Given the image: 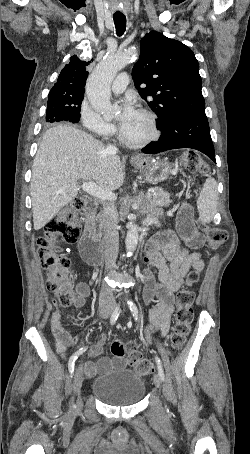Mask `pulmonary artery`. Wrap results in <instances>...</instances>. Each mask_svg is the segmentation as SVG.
I'll list each match as a JSON object with an SVG mask.
<instances>
[{
    "label": "pulmonary artery",
    "instance_id": "obj_1",
    "mask_svg": "<svg viewBox=\"0 0 250 454\" xmlns=\"http://www.w3.org/2000/svg\"><path fill=\"white\" fill-rule=\"evenodd\" d=\"M129 83V76L127 73L119 74L111 85L113 93H122Z\"/></svg>",
    "mask_w": 250,
    "mask_h": 454
}]
</instances>
